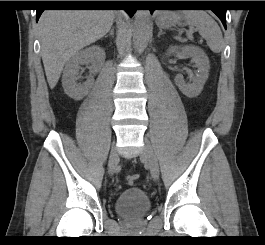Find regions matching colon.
Listing matches in <instances>:
<instances>
[{
    "instance_id": "1",
    "label": "colon",
    "mask_w": 265,
    "mask_h": 245,
    "mask_svg": "<svg viewBox=\"0 0 265 245\" xmlns=\"http://www.w3.org/2000/svg\"><path fill=\"white\" fill-rule=\"evenodd\" d=\"M139 177H140L139 174H131L128 176V181L130 183H134L139 179Z\"/></svg>"
}]
</instances>
